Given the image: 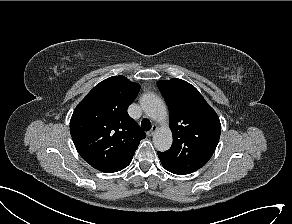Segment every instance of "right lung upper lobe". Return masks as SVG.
I'll use <instances>...</instances> for the list:
<instances>
[{"label":"right lung upper lobe","mask_w":292,"mask_h":224,"mask_svg":"<svg viewBox=\"0 0 292 224\" xmlns=\"http://www.w3.org/2000/svg\"><path fill=\"white\" fill-rule=\"evenodd\" d=\"M140 85L124 76L97 84L77 105L70 133L80 156L97 170L129 162L145 133L128 115Z\"/></svg>","instance_id":"cb5924a9"}]
</instances>
